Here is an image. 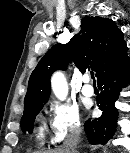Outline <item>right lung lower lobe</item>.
Masks as SVG:
<instances>
[{
  "label": "right lung lower lobe",
  "mask_w": 130,
  "mask_h": 153,
  "mask_svg": "<svg viewBox=\"0 0 130 153\" xmlns=\"http://www.w3.org/2000/svg\"><path fill=\"white\" fill-rule=\"evenodd\" d=\"M130 57L126 56L118 64L105 71L97 78L101 93L96 99V105L102 110V116L87 120L84 129L91 144H105L115 132L118 111L114 107L122 88L130 78Z\"/></svg>",
  "instance_id": "right-lung-lower-lobe-1"
}]
</instances>
